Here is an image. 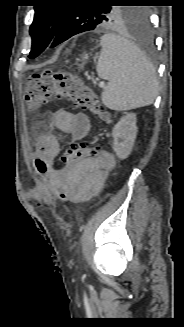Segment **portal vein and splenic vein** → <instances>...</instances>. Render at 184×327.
Listing matches in <instances>:
<instances>
[{
    "mask_svg": "<svg viewBox=\"0 0 184 327\" xmlns=\"http://www.w3.org/2000/svg\"><path fill=\"white\" fill-rule=\"evenodd\" d=\"M105 86V83L104 82H100L99 83V87L103 88Z\"/></svg>",
    "mask_w": 184,
    "mask_h": 327,
    "instance_id": "18ae733b",
    "label": "portal vein and splenic vein"
}]
</instances>
